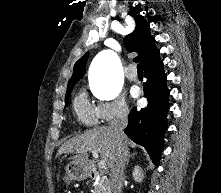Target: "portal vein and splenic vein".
I'll list each match as a JSON object with an SVG mask.
<instances>
[{"label":"portal vein and splenic vein","instance_id":"portal-vein-and-splenic-vein-1","mask_svg":"<svg viewBox=\"0 0 221 193\" xmlns=\"http://www.w3.org/2000/svg\"><path fill=\"white\" fill-rule=\"evenodd\" d=\"M90 150V149H89ZM94 158H98V151L96 150H90ZM98 166L100 169H104L106 167V162L104 160H100L98 162Z\"/></svg>","mask_w":221,"mask_h":193}]
</instances>
